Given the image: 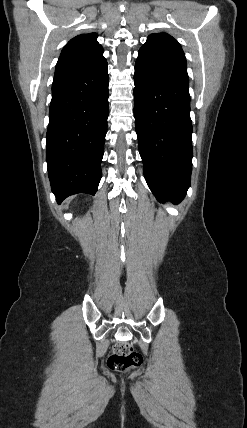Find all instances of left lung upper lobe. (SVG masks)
<instances>
[{
	"instance_id": "5c2ea615",
	"label": "left lung upper lobe",
	"mask_w": 247,
	"mask_h": 428,
	"mask_svg": "<svg viewBox=\"0 0 247 428\" xmlns=\"http://www.w3.org/2000/svg\"><path fill=\"white\" fill-rule=\"evenodd\" d=\"M141 48L157 52L165 57L187 64L181 45L166 33L149 35L146 43Z\"/></svg>"
}]
</instances>
